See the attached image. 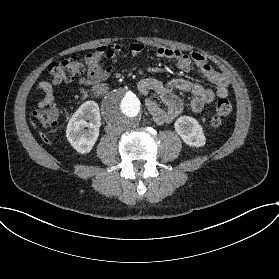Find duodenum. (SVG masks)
Returning <instances> with one entry per match:
<instances>
[{
    "label": "duodenum",
    "mask_w": 279,
    "mask_h": 279,
    "mask_svg": "<svg viewBox=\"0 0 279 279\" xmlns=\"http://www.w3.org/2000/svg\"><path fill=\"white\" fill-rule=\"evenodd\" d=\"M106 91H107L106 85H99L95 88L94 93L99 95L105 93Z\"/></svg>",
    "instance_id": "1"
}]
</instances>
